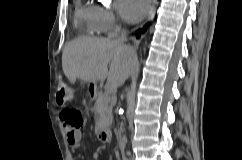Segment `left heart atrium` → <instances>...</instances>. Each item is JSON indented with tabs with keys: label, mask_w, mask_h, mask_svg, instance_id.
Listing matches in <instances>:
<instances>
[{
	"label": "left heart atrium",
	"mask_w": 242,
	"mask_h": 160,
	"mask_svg": "<svg viewBox=\"0 0 242 160\" xmlns=\"http://www.w3.org/2000/svg\"><path fill=\"white\" fill-rule=\"evenodd\" d=\"M150 0H117L116 8L123 20L128 23L140 21L148 12Z\"/></svg>",
	"instance_id": "obj_1"
}]
</instances>
